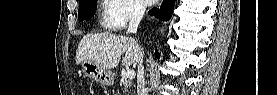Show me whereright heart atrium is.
I'll use <instances>...</instances> for the list:
<instances>
[{"label": "right heart atrium", "mask_w": 277, "mask_h": 95, "mask_svg": "<svg viewBox=\"0 0 277 95\" xmlns=\"http://www.w3.org/2000/svg\"><path fill=\"white\" fill-rule=\"evenodd\" d=\"M117 6V10L110 13L109 28L122 30L131 21L139 18L143 7L137 0H111Z\"/></svg>", "instance_id": "1"}]
</instances>
